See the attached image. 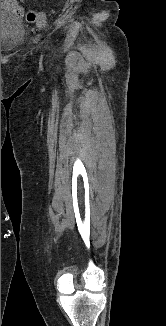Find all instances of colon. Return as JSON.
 Segmentation results:
<instances>
[{
    "instance_id": "5ec220e1",
    "label": "colon",
    "mask_w": 166,
    "mask_h": 326,
    "mask_svg": "<svg viewBox=\"0 0 166 326\" xmlns=\"http://www.w3.org/2000/svg\"><path fill=\"white\" fill-rule=\"evenodd\" d=\"M26 19L31 23L42 24L46 19V13L38 11H28L26 14Z\"/></svg>"
}]
</instances>
